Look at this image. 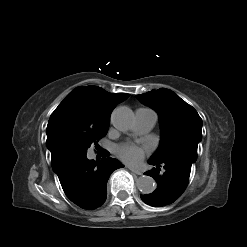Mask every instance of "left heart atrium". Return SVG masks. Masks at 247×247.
Returning <instances> with one entry per match:
<instances>
[{"label": "left heart atrium", "mask_w": 247, "mask_h": 247, "mask_svg": "<svg viewBox=\"0 0 247 247\" xmlns=\"http://www.w3.org/2000/svg\"><path fill=\"white\" fill-rule=\"evenodd\" d=\"M117 155L125 162L129 164L136 165L138 164L145 155V149L132 144V143H125L120 145L116 149Z\"/></svg>", "instance_id": "left-heart-atrium-1"}]
</instances>
